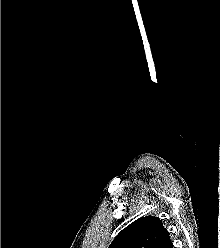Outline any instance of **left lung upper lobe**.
Here are the masks:
<instances>
[{
    "label": "left lung upper lobe",
    "instance_id": "1",
    "mask_svg": "<svg viewBox=\"0 0 220 248\" xmlns=\"http://www.w3.org/2000/svg\"><path fill=\"white\" fill-rule=\"evenodd\" d=\"M171 245L172 241L162 221L157 217L146 216L124 228L108 248H169Z\"/></svg>",
    "mask_w": 220,
    "mask_h": 248
}]
</instances>
